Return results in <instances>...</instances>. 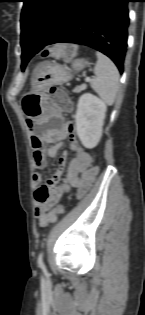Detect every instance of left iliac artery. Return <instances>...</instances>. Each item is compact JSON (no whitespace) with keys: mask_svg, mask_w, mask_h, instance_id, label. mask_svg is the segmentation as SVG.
I'll use <instances>...</instances> for the list:
<instances>
[{"mask_svg":"<svg viewBox=\"0 0 145 315\" xmlns=\"http://www.w3.org/2000/svg\"><path fill=\"white\" fill-rule=\"evenodd\" d=\"M37 263H38V266L44 270L45 269V265H44V262H43V252H40L39 256H38V259H37Z\"/></svg>","mask_w":145,"mask_h":315,"instance_id":"1","label":"left iliac artery"}]
</instances>
